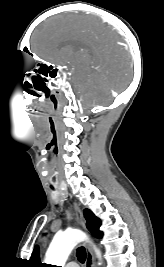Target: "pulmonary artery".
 <instances>
[{"label": "pulmonary artery", "mask_w": 164, "mask_h": 267, "mask_svg": "<svg viewBox=\"0 0 164 267\" xmlns=\"http://www.w3.org/2000/svg\"><path fill=\"white\" fill-rule=\"evenodd\" d=\"M65 267H79L78 264L76 262H69L66 264Z\"/></svg>", "instance_id": "1"}]
</instances>
